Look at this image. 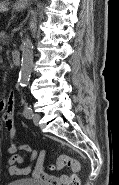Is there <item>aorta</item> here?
<instances>
[{"mask_svg":"<svg viewBox=\"0 0 119 185\" xmlns=\"http://www.w3.org/2000/svg\"><path fill=\"white\" fill-rule=\"evenodd\" d=\"M21 51H22V64L18 81L21 86H25L30 79V74L33 66L32 43L28 37L24 39Z\"/></svg>","mask_w":119,"mask_h":185,"instance_id":"obj_1","label":"aorta"}]
</instances>
